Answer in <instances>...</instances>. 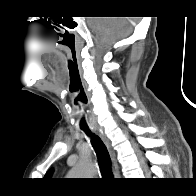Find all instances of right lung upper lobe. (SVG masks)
Wrapping results in <instances>:
<instances>
[{"instance_id": "right-lung-upper-lobe-1", "label": "right lung upper lobe", "mask_w": 196, "mask_h": 196, "mask_svg": "<svg viewBox=\"0 0 196 196\" xmlns=\"http://www.w3.org/2000/svg\"><path fill=\"white\" fill-rule=\"evenodd\" d=\"M52 172H53V170L51 169V170H49L47 173H46V175H45V177L44 178H50L51 177V175H52Z\"/></svg>"}]
</instances>
